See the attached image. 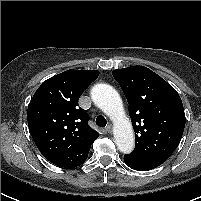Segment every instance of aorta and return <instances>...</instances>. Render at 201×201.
Instances as JSON below:
<instances>
[{
  "label": "aorta",
  "instance_id": "obj_1",
  "mask_svg": "<svg viewBox=\"0 0 201 201\" xmlns=\"http://www.w3.org/2000/svg\"><path fill=\"white\" fill-rule=\"evenodd\" d=\"M91 98L114 123V139L117 148L124 154L133 151L135 140L133 127L126 117L118 92L110 85L96 84L91 90Z\"/></svg>",
  "mask_w": 201,
  "mask_h": 201
}]
</instances>
